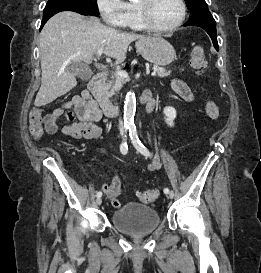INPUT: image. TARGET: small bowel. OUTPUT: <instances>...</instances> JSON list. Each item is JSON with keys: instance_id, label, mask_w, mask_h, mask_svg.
<instances>
[{"instance_id": "obj_1", "label": "small bowel", "mask_w": 261, "mask_h": 273, "mask_svg": "<svg viewBox=\"0 0 261 273\" xmlns=\"http://www.w3.org/2000/svg\"><path fill=\"white\" fill-rule=\"evenodd\" d=\"M172 88L174 92L185 102L192 103L195 99L190 87L181 79H174L172 81ZM73 108L79 121H74V116L71 113H66L65 117L68 121L62 127V133L74 139L93 140L102 137V129L96 125L102 117L101 111L93 99H87L85 94L75 95L71 100L64 103L62 108H56L51 113L44 117L46 131L54 134L58 131V119L64 115L66 109ZM102 156H105L103 150H99ZM157 164L151 167L154 169ZM102 190L110 200L114 208H119L121 202L119 195L121 194L120 176L116 173L112 179L111 184L102 185Z\"/></svg>"}]
</instances>
